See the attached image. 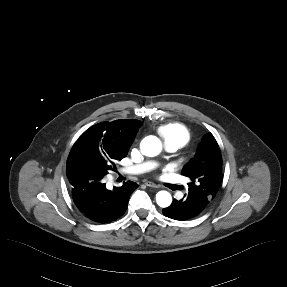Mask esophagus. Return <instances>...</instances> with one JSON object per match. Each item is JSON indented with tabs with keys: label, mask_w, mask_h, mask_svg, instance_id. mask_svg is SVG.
Returning <instances> with one entry per match:
<instances>
[{
	"label": "esophagus",
	"mask_w": 287,
	"mask_h": 287,
	"mask_svg": "<svg viewBox=\"0 0 287 287\" xmlns=\"http://www.w3.org/2000/svg\"><path fill=\"white\" fill-rule=\"evenodd\" d=\"M145 184H146L148 187H151V188H158V186H157L156 184H154V183H152V182H150V181H147Z\"/></svg>",
	"instance_id": "34e87169"
}]
</instances>
